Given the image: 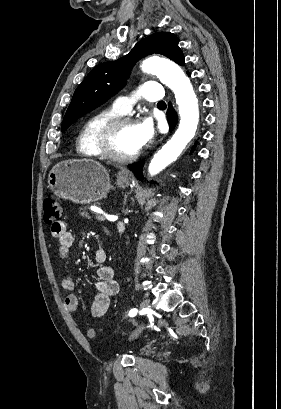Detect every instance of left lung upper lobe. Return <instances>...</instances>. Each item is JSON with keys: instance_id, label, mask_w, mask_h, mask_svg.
I'll return each mask as SVG.
<instances>
[{"instance_id": "1", "label": "left lung upper lobe", "mask_w": 281, "mask_h": 409, "mask_svg": "<svg viewBox=\"0 0 281 409\" xmlns=\"http://www.w3.org/2000/svg\"><path fill=\"white\" fill-rule=\"evenodd\" d=\"M178 38L170 32H158L141 39L129 54L94 67L77 87L64 116L62 132L74 121L105 103L126 84V79L137 61L158 53L184 65V56L178 47Z\"/></svg>"}]
</instances>
